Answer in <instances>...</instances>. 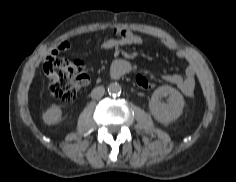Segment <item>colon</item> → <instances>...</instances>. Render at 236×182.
Instances as JSON below:
<instances>
[{
	"label": "colon",
	"mask_w": 236,
	"mask_h": 182,
	"mask_svg": "<svg viewBox=\"0 0 236 182\" xmlns=\"http://www.w3.org/2000/svg\"><path fill=\"white\" fill-rule=\"evenodd\" d=\"M44 72L48 78L49 89L53 97L63 102H71L79 89L87 83V66L82 59L68 60L58 52L50 54L44 63ZM135 82L141 89H151L153 83L143 75L137 74Z\"/></svg>",
	"instance_id": "5ec220e1"
}]
</instances>
